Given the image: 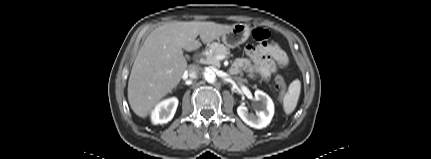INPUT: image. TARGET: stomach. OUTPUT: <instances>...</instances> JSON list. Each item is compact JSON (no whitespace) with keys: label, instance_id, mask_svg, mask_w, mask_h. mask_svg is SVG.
Returning a JSON list of instances; mask_svg holds the SVG:
<instances>
[{"label":"stomach","instance_id":"obj_1","mask_svg":"<svg viewBox=\"0 0 431 159\" xmlns=\"http://www.w3.org/2000/svg\"><path fill=\"white\" fill-rule=\"evenodd\" d=\"M250 36V28L247 24L237 23L222 35V42L229 48H235L244 43Z\"/></svg>","mask_w":431,"mask_h":159}]
</instances>
